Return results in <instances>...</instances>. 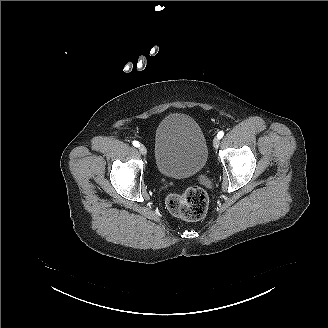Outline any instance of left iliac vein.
<instances>
[{"label": "left iliac vein", "instance_id": "obj_1", "mask_svg": "<svg viewBox=\"0 0 328 328\" xmlns=\"http://www.w3.org/2000/svg\"><path fill=\"white\" fill-rule=\"evenodd\" d=\"M219 143H220L219 138H218V137H215V138L213 139V147H214L215 149H217L218 146H219Z\"/></svg>", "mask_w": 328, "mask_h": 328}]
</instances>
